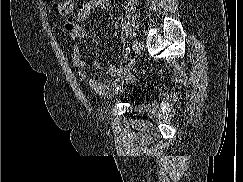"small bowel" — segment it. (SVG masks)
<instances>
[{"instance_id":"1","label":"small bowel","mask_w":243,"mask_h":182,"mask_svg":"<svg viewBox=\"0 0 243 182\" xmlns=\"http://www.w3.org/2000/svg\"><path fill=\"white\" fill-rule=\"evenodd\" d=\"M108 5V0H84L81 7L65 21L64 25L72 40L71 56L74 71L80 81L99 95H106L111 91L119 90L133 70V62L127 63L124 67L110 64L107 69L110 78L106 82H99L87 71L89 64L81 54V44L86 36L82 23L94 12L106 10ZM91 65L96 69L99 68L97 61H92Z\"/></svg>"}]
</instances>
